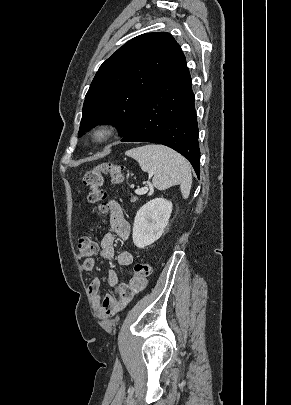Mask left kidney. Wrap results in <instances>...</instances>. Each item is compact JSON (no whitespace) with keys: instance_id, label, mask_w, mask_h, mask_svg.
Returning a JSON list of instances; mask_svg holds the SVG:
<instances>
[{"instance_id":"obj_1","label":"left kidney","mask_w":291,"mask_h":405,"mask_svg":"<svg viewBox=\"0 0 291 405\" xmlns=\"http://www.w3.org/2000/svg\"><path fill=\"white\" fill-rule=\"evenodd\" d=\"M172 207V202L164 198H155L137 211L132 233L136 247L145 248L162 236L168 225Z\"/></svg>"}]
</instances>
